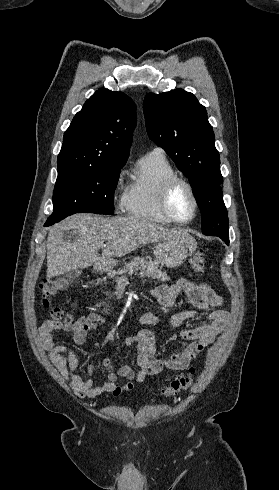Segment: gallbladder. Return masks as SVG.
Here are the masks:
<instances>
[{
  "mask_svg": "<svg viewBox=\"0 0 279 490\" xmlns=\"http://www.w3.org/2000/svg\"><path fill=\"white\" fill-rule=\"evenodd\" d=\"M82 272L81 270H71V272H65L61 276H57V284H72L76 278H80Z\"/></svg>",
  "mask_w": 279,
  "mask_h": 490,
  "instance_id": "gallbladder-1",
  "label": "gallbladder"
}]
</instances>
